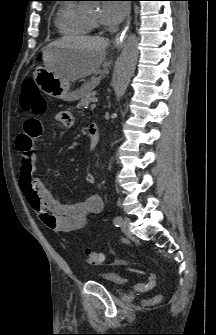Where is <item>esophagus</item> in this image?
Here are the masks:
<instances>
[{
	"label": "esophagus",
	"mask_w": 216,
	"mask_h": 335,
	"mask_svg": "<svg viewBox=\"0 0 216 335\" xmlns=\"http://www.w3.org/2000/svg\"><path fill=\"white\" fill-rule=\"evenodd\" d=\"M130 11H131V7H129V13H128L127 21H126L124 28L114 37V44L116 46H119L127 36L128 30L130 27V21H131Z\"/></svg>",
	"instance_id": "34e87169"
}]
</instances>
